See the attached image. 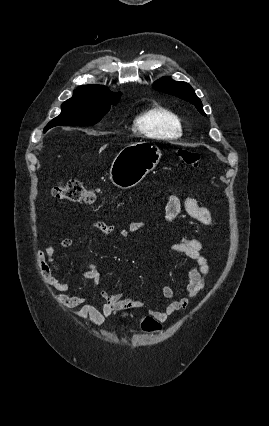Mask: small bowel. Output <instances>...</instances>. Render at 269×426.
<instances>
[{"label":"small bowel","mask_w":269,"mask_h":426,"mask_svg":"<svg viewBox=\"0 0 269 426\" xmlns=\"http://www.w3.org/2000/svg\"><path fill=\"white\" fill-rule=\"evenodd\" d=\"M183 210L188 216L206 226H214L215 224L213 214L209 209L201 207L192 197H186L182 200L177 196H171L166 204L165 215L167 222L170 224L175 223ZM145 227L146 224L144 222H132L127 228H119L115 225L96 221L88 229L98 230L101 237L110 238L115 233L127 236L129 233L139 231ZM73 243L74 240L71 237H67L61 241V247L68 249ZM170 249L184 255L190 261V264L187 268V281L183 285V291L186 295L174 298L173 288L165 286L162 289L161 298L164 300L171 299V301L164 310H148L149 315L161 323L166 322L174 314L185 310L189 306L191 300L197 297L204 289L210 272L208 261L203 255L204 243L202 241L182 236L170 245ZM54 254L55 249L52 245H48L44 250L38 252V271L46 285L57 292L56 301L67 308H80L77 313L79 316L89 318L96 324H101L117 310L146 307V304L141 300L128 297L123 293L112 294L105 290L100 291L102 299L100 307L90 303L86 296L68 295L67 292L72 289V284L59 280L53 274L54 271L60 270ZM82 276L93 281L97 286L101 283V274L95 262L87 264Z\"/></svg>","instance_id":"1"}]
</instances>
